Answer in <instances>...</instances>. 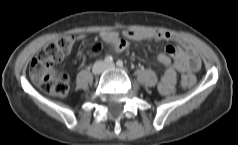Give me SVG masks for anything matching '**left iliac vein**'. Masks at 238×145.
<instances>
[{"label":"left iliac vein","instance_id":"obj_1","mask_svg":"<svg viewBox=\"0 0 238 145\" xmlns=\"http://www.w3.org/2000/svg\"><path fill=\"white\" fill-rule=\"evenodd\" d=\"M104 68L105 69H113V68H115V64H113V63L106 64Z\"/></svg>","mask_w":238,"mask_h":145}]
</instances>
